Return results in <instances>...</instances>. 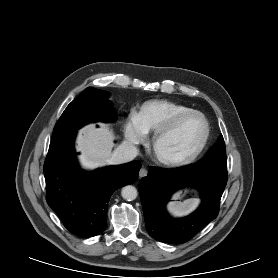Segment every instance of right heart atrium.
<instances>
[{"instance_id": "right-heart-atrium-1", "label": "right heart atrium", "mask_w": 278, "mask_h": 278, "mask_svg": "<svg viewBox=\"0 0 278 278\" xmlns=\"http://www.w3.org/2000/svg\"><path fill=\"white\" fill-rule=\"evenodd\" d=\"M145 132L141 128L137 115L131 113L127 116L124 122V136L131 144H139L145 139Z\"/></svg>"}]
</instances>
